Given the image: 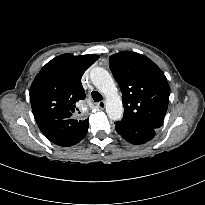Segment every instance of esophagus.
Listing matches in <instances>:
<instances>
[{
    "mask_svg": "<svg viewBox=\"0 0 205 205\" xmlns=\"http://www.w3.org/2000/svg\"><path fill=\"white\" fill-rule=\"evenodd\" d=\"M106 103L104 101H100L97 103V107L99 109H104L105 108Z\"/></svg>",
    "mask_w": 205,
    "mask_h": 205,
    "instance_id": "esophagus-1",
    "label": "esophagus"
}]
</instances>
